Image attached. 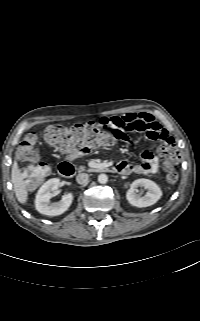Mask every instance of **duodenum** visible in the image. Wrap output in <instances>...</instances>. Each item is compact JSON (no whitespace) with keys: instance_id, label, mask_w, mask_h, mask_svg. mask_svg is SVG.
Returning a JSON list of instances; mask_svg holds the SVG:
<instances>
[{"instance_id":"1","label":"duodenum","mask_w":200,"mask_h":321,"mask_svg":"<svg viewBox=\"0 0 200 321\" xmlns=\"http://www.w3.org/2000/svg\"><path fill=\"white\" fill-rule=\"evenodd\" d=\"M89 170L93 172H107V173L117 172L116 167L107 166V165H97ZM58 171H59V174L65 178L72 177L76 172L75 167L68 162L61 163L58 167Z\"/></svg>"}]
</instances>
